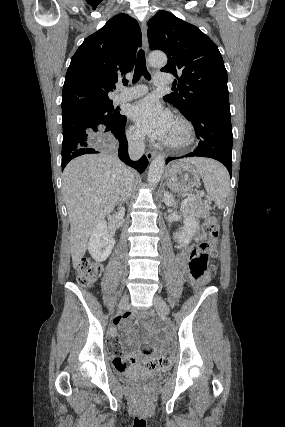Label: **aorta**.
<instances>
[{
	"label": "aorta",
	"mask_w": 285,
	"mask_h": 427,
	"mask_svg": "<svg viewBox=\"0 0 285 427\" xmlns=\"http://www.w3.org/2000/svg\"><path fill=\"white\" fill-rule=\"evenodd\" d=\"M149 64L152 67H163L167 63V56L163 52H152L149 55ZM165 167V158L163 155L156 156L150 164L148 171V184L155 187L159 183Z\"/></svg>",
	"instance_id": "obj_1"
}]
</instances>
